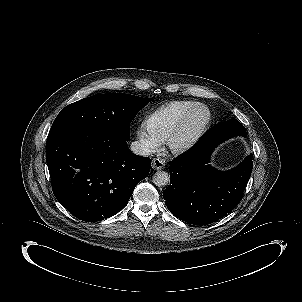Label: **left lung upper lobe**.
<instances>
[{
    "mask_svg": "<svg viewBox=\"0 0 302 302\" xmlns=\"http://www.w3.org/2000/svg\"><path fill=\"white\" fill-rule=\"evenodd\" d=\"M210 131L211 135L217 137L221 142L234 136L242 135L246 137L244 126L236 119H229Z\"/></svg>",
    "mask_w": 302,
    "mask_h": 302,
    "instance_id": "left-lung-upper-lobe-1",
    "label": "left lung upper lobe"
}]
</instances>
